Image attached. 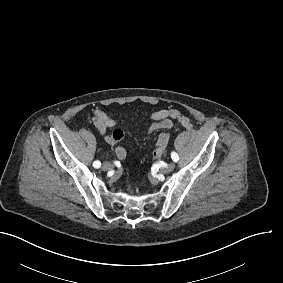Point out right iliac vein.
Wrapping results in <instances>:
<instances>
[{"instance_id":"63e3f726","label":"right iliac vein","mask_w":283,"mask_h":283,"mask_svg":"<svg viewBox=\"0 0 283 283\" xmlns=\"http://www.w3.org/2000/svg\"><path fill=\"white\" fill-rule=\"evenodd\" d=\"M111 168H112V164L109 163V162H105V163H103V165H102V169H103L104 171H108V170H110Z\"/></svg>"}]
</instances>
